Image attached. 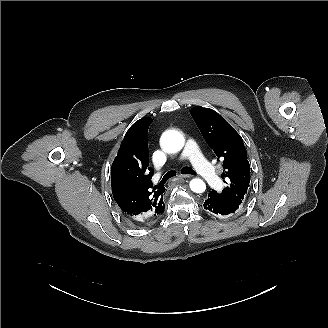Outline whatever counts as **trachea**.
Masks as SVG:
<instances>
[{
	"label": "trachea",
	"instance_id": "3493384b",
	"mask_svg": "<svg viewBox=\"0 0 328 328\" xmlns=\"http://www.w3.org/2000/svg\"><path fill=\"white\" fill-rule=\"evenodd\" d=\"M181 173L182 174H191V175H196V172L192 169V168H189V167H184L181 169ZM176 176V172L174 170H170L168 171L163 179L161 180V182L159 183V186H162L164 185L170 178Z\"/></svg>",
	"mask_w": 328,
	"mask_h": 328
}]
</instances>
